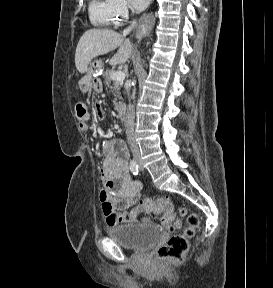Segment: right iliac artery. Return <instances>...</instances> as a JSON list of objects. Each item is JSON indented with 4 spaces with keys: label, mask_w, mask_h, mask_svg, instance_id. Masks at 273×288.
<instances>
[{
    "label": "right iliac artery",
    "mask_w": 273,
    "mask_h": 288,
    "mask_svg": "<svg viewBox=\"0 0 273 288\" xmlns=\"http://www.w3.org/2000/svg\"><path fill=\"white\" fill-rule=\"evenodd\" d=\"M130 170L134 175H137L139 173V166L136 163V161L131 160L130 162Z\"/></svg>",
    "instance_id": "right-iliac-artery-1"
}]
</instances>
